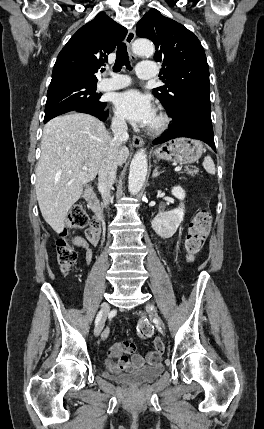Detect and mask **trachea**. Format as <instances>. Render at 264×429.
<instances>
[{"mask_svg": "<svg viewBox=\"0 0 264 429\" xmlns=\"http://www.w3.org/2000/svg\"><path fill=\"white\" fill-rule=\"evenodd\" d=\"M122 66H126L128 69H131L129 56H128V52H127V48H126L125 43H120L117 46L116 61H115L113 70L115 72H119L121 70Z\"/></svg>", "mask_w": 264, "mask_h": 429, "instance_id": "trachea-1", "label": "trachea"}]
</instances>
